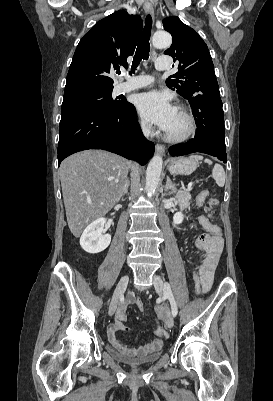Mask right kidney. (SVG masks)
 I'll return each mask as SVG.
<instances>
[{
	"mask_svg": "<svg viewBox=\"0 0 273 401\" xmlns=\"http://www.w3.org/2000/svg\"><path fill=\"white\" fill-rule=\"evenodd\" d=\"M104 225H108L106 219H96L86 227L80 237V245L86 253H101L111 243V235H102Z\"/></svg>",
	"mask_w": 273,
	"mask_h": 401,
	"instance_id": "obj_1",
	"label": "right kidney"
}]
</instances>
